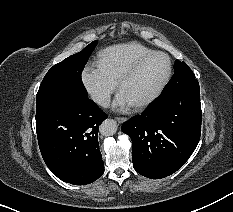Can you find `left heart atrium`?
I'll return each instance as SVG.
<instances>
[{
	"label": "left heart atrium",
	"instance_id": "39dd6f15",
	"mask_svg": "<svg viewBox=\"0 0 233 212\" xmlns=\"http://www.w3.org/2000/svg\"><path fill=\"white\" fill-rule=\"evenodd\" d=\"M132 102L130 101V99L125 95L124 92L120 91L119 94L117 95L113 106L116 109H127L128 107L132 106Z\"/></svg>",
	"mask_w": 233,
	"mask_h": 212
}]
</instances>
